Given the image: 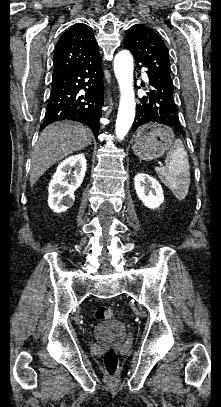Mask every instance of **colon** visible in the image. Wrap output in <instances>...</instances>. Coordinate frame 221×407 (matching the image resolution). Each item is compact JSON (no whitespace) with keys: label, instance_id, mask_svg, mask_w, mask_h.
<instances>
[{"label":"colon","instance_id":"obj_1","mask_svg":"<svg viewBox=\"0 0 221 407\" xmlns=\"http://www.w3.org/2000/svg\"><path fill=\"white\" fill-rule=\"evenodd\" d=\"M113 317V311L110 307L99 306L95 310V318L98 321H107ZM105 371L108 376H113L117 370V355L113 349L105 351L104 356Z\"/></svg>","mask_w":221,"mask_h":407}]
</instances>
